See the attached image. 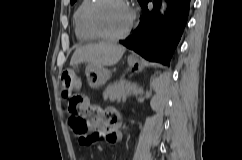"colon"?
I'll return each instance as SVG.
<instances>
[{"label":"colon","mask_w":242,"mask_h":160,"mask_svg":"<svg viewBox=\"0 0 242 160\" xmlns=\"http://www.w3.org/2000/svg\"><path fill=\"white\" fill-rule=\"evenodd\" d=\"M60 81L62 96L69 99L68 112L74 132L80 135L82 144H94L101 137V133L92 129L90 119L95 116V112L80 92V81L70 69L61 72Z\"/></svg>","instance_id":"colon-1"}]
</instances>
